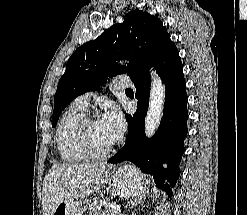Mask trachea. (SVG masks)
Wrapping results in <instances>:
<instances>
[{"label":"trachea","instance_id":"obj_1","mask_svg":"<svg viewBox=\"0 0 247 215\" xmlns=\"http://www.w3.org/2000/svg\"><path fill=\"white\" fill-rule=\"evenodd\" d=\"M126 91H133V90L129 88V89H127Z\"/></svg>","mask_w":247,"mask_h":215}]
</instances>
